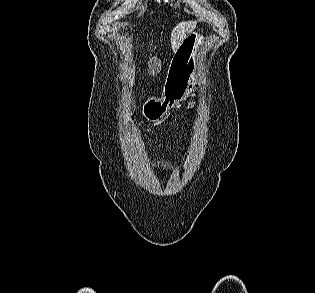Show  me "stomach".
Wrapping results in <instances>:
<instances>
[{
	"mask_svg": "<svg viewBox=\"0 0 315 293\" xmlns=\"http://www.w3.org/2000/svg\"><path fill=\"white\" fill-rule=\"evenodd\" d=\"M207 39L203 33H188L175 51L168 70L161 99H150L144 105L143 115L158 121L196 86L202 64L201 53Z\"/></svg>",
	"mask_w": 315,
	"mask_h": 293,
	"instance_id": "obj_1",
	"label": "stomach"
}]
</instances>
